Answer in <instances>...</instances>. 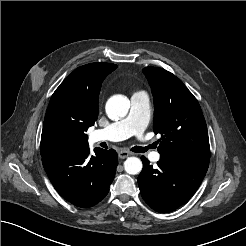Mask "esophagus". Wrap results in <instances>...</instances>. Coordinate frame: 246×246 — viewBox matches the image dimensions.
Returning <instances> with one entry per match:
<instances>
[{
  "label": "esophagus",
  "mask_w": 246,
  "mask_h": 246,
  "mask_svg": "<svg viewBox=\"0 0 246 246\" xmlns=\"http://www.w3.org/2000/svg\"><path fill=\"white\" fill-rule=\"evenodd\" d=\"M130 155H131V153L127 152V151H119L118 152V157L120 159H125V158L129 157Z\"/></svg>",
  "instance_id": "34e87169"
}]
</instances>
